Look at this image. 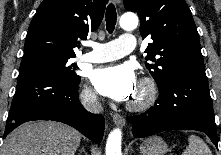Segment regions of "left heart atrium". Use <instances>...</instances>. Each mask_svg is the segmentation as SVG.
Here are the masks:
<instances>
[{
	"instance_id": "left-heart-atrium-1",
	"label": "left heart atrium",
	"mask_w": 221,
	"mask_h": 155,
	"mask_svg": "<svg viewBox=\"0 0 221 155\" xmlns=\"http://www.w3.org/2000/svg\"><path fill=\"white\" fill-rule=\"evenodd\" d=\"M97 91L116 101H127L137 91V80L133 69L127 65H112L97 69L91 76Z\"/></svg>"
}]
</instances>
